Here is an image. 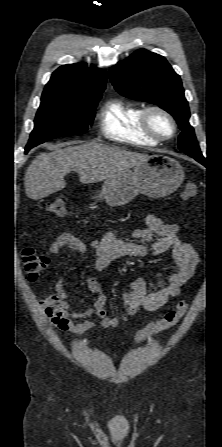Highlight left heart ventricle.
Here are the masks:
<instances>
[{"label":"left heart ventricle","mask_w":222,"mask_h":447,"mask_svg":"<svg viewBox=\"0 0 222 447\" xmlns=\"http://www.w3.org/2000/svg\"><path fill=\"white\" fill-rule=\"evenodd\" d=\"M150 123L152 128L161 135H169L171 133L172 127L170 122L160 114H152Z\"/></svg>","instance_id":"left-heart-ventricle-1"}]
</instances>
